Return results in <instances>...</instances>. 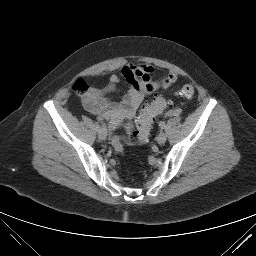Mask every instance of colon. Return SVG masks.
Masks as SVG:
<instances>
[{
  "mask_svg": "<svg viewBox=\"0 0 256 256\" xmlns=\"http://www.w3.org/2000/svg\"><path fill=\"white\" fill-rule=\"evenodd\" d=\"M88 89V85L81 79L77 80L73 85V90L79 95L86 94ZM194 92V87L186 84L180 88L178 95L190 98L194 95ZM169 105L170 101L161 96L155 97L151 102L147 103L137 119V130L131 136L130 141L135 143H144L147 141L155 118L169 107ZM123 140L124 137L122 135H115L111 140L112 146L117 153H123Z\"/></svg>",
  "mask_w": 256,
  "mask_h": 256,
  "instance_id": "5ec220e1",
  "label": "colon"
}]
</instances>
